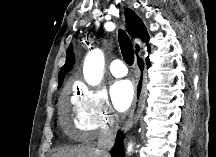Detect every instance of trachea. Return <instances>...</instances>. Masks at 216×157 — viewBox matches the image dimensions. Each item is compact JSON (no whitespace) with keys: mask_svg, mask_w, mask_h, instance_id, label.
<instances>
[{"mask_svg":"<svg viewBox=\"0 0 216 157\" xmlns=\"http://www.w3.org/2000/svg\"><path fill=\"white\" fill-rule=\"evenodd\" d=\"M118 39H119L121 53L123 55L125 62L129 65H132L134 63V50L128 35L126 34L125 31L119 30Z\"/></svg>","mask_w":216,"mask_h":157,"instance_id":"3493384b","label":"trachea"}]
</instances>
